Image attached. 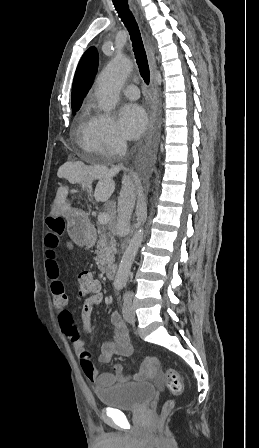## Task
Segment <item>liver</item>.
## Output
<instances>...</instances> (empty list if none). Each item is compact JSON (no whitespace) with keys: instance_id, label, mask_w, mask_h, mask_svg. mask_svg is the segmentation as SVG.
<instances>
[{"instance_id":"6515ba94","label":"liver","mask_w":259,"mask_h":448,"mask_svg":"<svg viewBox=\"0 0 259 448\" xmlns=\"http://www.w3.org/2000/svg\"><path fill=\"white\" fill-rule=\"evenodd\" d=\"M58 176H64L68 182H81L84 186H88L90 188L92 180H99L97 184V190H102L104 192L106 200H108L110 196L111 188H114V182L111 180L114 176V172H107V174H102L100 170H96V168H92V166H84L83 162H67L65 168L59 170ZM68 194V188H58L56 198H55V206L58 212H67L70 210V204H67L66 198ZM111 210V208H109Z\"/></svg>"}]
</instances>
